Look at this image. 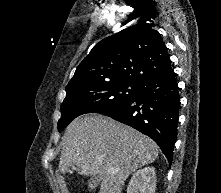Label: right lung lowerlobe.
Returning a JSON list of instances; mask_svg holds the SVG:
<instances>
[{
    "label": "right lung lower lobe",
    "mask_w": 221,
    "mask_h": 193,
    "mask_svg": "<svg viewBox=\"0 0 221 193\" xmlns=\"http://www.w3.org/2000/svg\"><path fill=\"white\" fill-rule=\"evenodd\" d=\"M141 84L136 96L99 113L148 135L171 164L180 108L175 74L171 71L161 76H152Z\"/></svg>",
    "instance_id": "obj_1"
}]
</instances>
